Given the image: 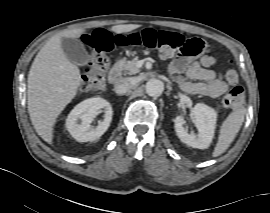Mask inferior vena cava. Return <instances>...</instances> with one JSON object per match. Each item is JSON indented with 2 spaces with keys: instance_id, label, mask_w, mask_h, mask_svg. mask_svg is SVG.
<instances>
[{
  "instance_id": "602c4592",
  "label": "inferior vena cava",
  "mask_w": 270,
  "mask_h": 213,
  "mask_svg": "<svg viewBox=\"0 0 270 213\" xmlns=\"http://www.w3.org/2000/svg\"><path fill=\"white\" fill-rule=\"evenodd\" d=\"M133 86V82L129 78H123L115 83L114 91L117 94H124L129 91Z\"/></svg>"
}]
</instances>
